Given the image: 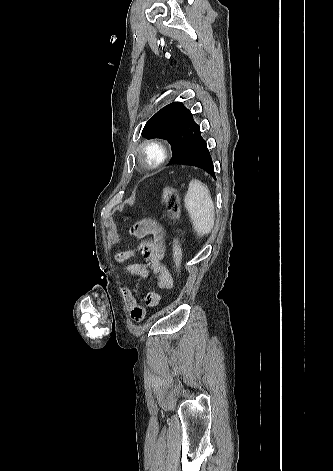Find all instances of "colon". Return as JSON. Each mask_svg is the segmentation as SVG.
Returning a JSON list of instances; mask_svg holds the SVG:
<instances>
[{"label": "colon", "mask_w": 333, "mask_h": 471, "mask_svg": "<svg viewBox=\"0 0 333 471\" xmlns=\"http://www.w3.org/2000/svg\"><path fill=\"white\" fill-rule=\"evenodd\" d=\"M162 198L167 209L169 217L179 222L181 219V206L178 192L171 186H165L162 190ZM183 257V248L179 235H176L173 241L172 258L174 268L178 276L181 274V263Z\"/></svg>", "instance_id": "5ec220e1"}]
</instances>
